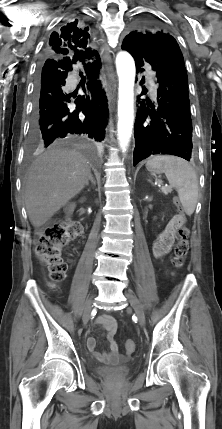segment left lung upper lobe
Masks as SVG:
<instances>
[{
  "mask_svg": "<svg viewBox=\"0 0 222 429\" xmlns=\"http://www.w3.org/2000/svg\"><path fill=\"white\" fill-rule=\"evenodd\" d=\"M164 35L168 34H165L162 30L157 28L142 26L138 30L127 35L121 47L129 52L133 43H146L145 48L153 53L156 51L158 45L162 43Z\"/></svg>",
  "mask_w": 222,
  "mask_h": 429,
  "instance_id": "1",
  "label": "left lung upper lobe"
}]
</instances>
